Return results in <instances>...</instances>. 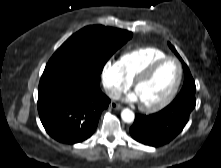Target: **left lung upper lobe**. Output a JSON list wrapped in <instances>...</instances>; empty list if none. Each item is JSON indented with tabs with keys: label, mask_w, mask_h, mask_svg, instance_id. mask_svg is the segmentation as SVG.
I'll return each mask as SVG.
<instances>
[{
	"label": "left lung upper lobe",
	"mask_w": 221,
	"mask_h": 168,
	"mask_svg": "<svg viewBox=\"0 0 221 168\" xmlns=\"http://www.w3.org/2000/svg\"><path fill=\"white\" fill-rule=\"evenodd\" d=\"M169 47L171 48V50L176 54V56L182 61V65H183V69H184V84H183V87L181 90L183 89H193V90H196V87H195V82L192 78V75L190 73V70L189 68L187 67V65L184 63V61L182 60V58L180 57V55L177 53V51L175 50V48L170 44L168 43Z\"/></svg>",
	"instance_id": "1"
}]
</instances>
